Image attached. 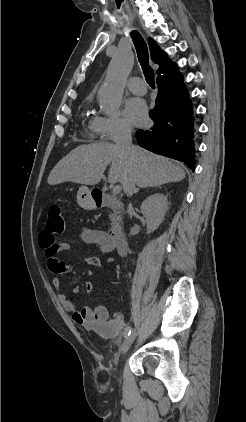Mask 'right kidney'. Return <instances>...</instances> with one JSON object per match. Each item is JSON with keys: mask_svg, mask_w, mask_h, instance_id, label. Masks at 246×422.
I'll list each match as a JSON object with an SVG mask.
<instances>
[{"mask_svg": "<svg viewBox=\"0 0 246 422\" xmlns=\"http://www.w3.org/2000/svg\"><path fill=\"white\" fill-rule=\"evenodd\" d=\"M140 208L147 221V232H154L163 222L168 209L167 196L161 193L150 195L143 201Z\"/></svg>", "mask_w": 246, "mask_h": 422, "instance_id": "right-kidney-1", "label": "right kidney"}]
</instances>
